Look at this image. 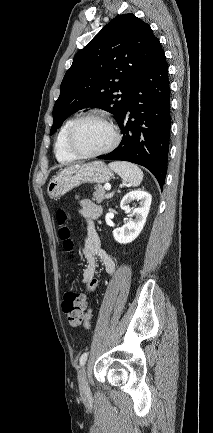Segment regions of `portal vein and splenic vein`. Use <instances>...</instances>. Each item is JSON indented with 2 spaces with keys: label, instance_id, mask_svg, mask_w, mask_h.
Returning a JSON list of instances; mask_svg holds the SVG:
<instances>
[{
  "label": "portal vein and splenic vein",
  "instance_id": "18ae733b",
  "mask_svg": "<svg viewBox=\"0 0 213 433\" xmlns=\"http://www.w3.org/2000/svg\"><path fill=\"white\" fill-rule=\"evenodd\" d=\"M104 188H105L106 190H110V189H111V185H110V184H106V185L104 186ZM113 194H114V193H111V194L107 195V198L112 197Z\"/></svg>",
  "mask_w": 213,
  "mask_h": 433
}]
</instances>
